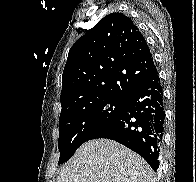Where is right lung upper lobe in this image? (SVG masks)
<instances>
[{
	"instance_id": "right-lung-upper-lobe-1",
	"label": "right lung upper lobe",
	"mask_w": 196,
	"mask_h": 182,
	"mask_svg": "<svg viewBox=\"0 0 196 182\" xmlns=\"http://www.w3.org/2000/svg\"><path fill=\"white\" fill-rule=\"evenodd\" d=\"M154 68L138 27L124 14L111 13L71 47L62 77L61 112L100 97L128 98Z\"/></svg>"
}]
</instances>
